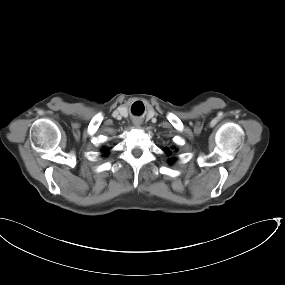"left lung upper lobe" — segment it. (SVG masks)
Returning a JSON list of instances; mask_svg holds the SVG:
<instances>
[{"label": "left lung upper lobe", "instance_id": "1", "mask_svg": "<svg viewBox=\"0 0 285 285\" xmlns=\"http://www.w3.org/2000/svg\"><path fill=\"white\" fill-rule=\"evenodd\" d=\"M165 152H166L167 155H171V151H169L168 149H166ZM172 162H174V159L171 158L169 160V163H172Z\"/></svg>", "mask_w": 285, "mask_h": 285}]
</instances>
